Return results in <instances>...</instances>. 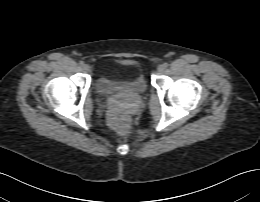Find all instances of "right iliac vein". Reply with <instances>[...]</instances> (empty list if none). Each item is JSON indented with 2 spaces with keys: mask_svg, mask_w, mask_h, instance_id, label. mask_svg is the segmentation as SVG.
Returning <instances> with one entry per match:
<instances>
[{
  "mask_svg": "<svg viewBox=\"0 0 260 202\" xmlns=\"http://www.w3.org/2000/svg\"><path fill=\"white\" fill-rule=\"evenodd\" d=\"M83 70H84L85 72H88V71L90 70V67H89L87 64H85V65L83 66Z\"/></svg>",
  "mask_w": 260,
  "mask_h": 202,
  "instance_id": "63e3f726",
  "label": "right iliac vein"
}]
</instances>
